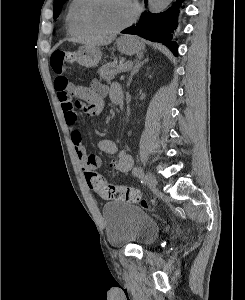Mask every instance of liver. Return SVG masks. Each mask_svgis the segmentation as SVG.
I'll return each mask as SVG.
<instances>
[{"instance_id":"liver-1","label":"liver","mask_w":245,"mask_h":300,"mask_svg":"<svg viewBox=\"0 0 245 300\" xmlns=\"http://www.w3.org/2000/svg\"><path fill=\"white\" fill-rule=\"evenodd\" d=\"M115 37H89L82 41L86 47H97L109 45L114 41Z\"/></svg>"}]
</instances>
